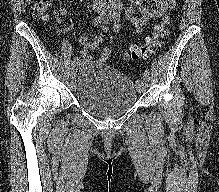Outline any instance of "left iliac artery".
<instances>
[{
    "label": "left iliac artery",
    "mask_w": 219,
    "mask_h": 192,
    "mask_svg": "<svg viewBox=\"0 0 219 192\" xmlns=\"http://www.w3.org/2000/svg\"><path fill=\"white\" fill-rule=\"evenodd\" d=\"M119 18H120V6L119 5H116L114 11H113V19L115 21H119ZM144 75H150V71L148 69H146L144 71Z\"/></svg>",
    "instance_id": "1"
}]
</instances>
